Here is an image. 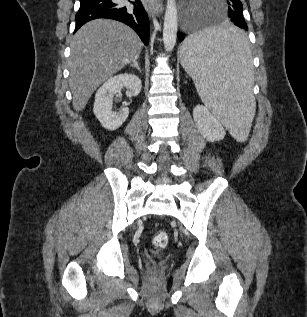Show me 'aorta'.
Returning <instances> with one entry per match:
<instances>
[{
	"label": "aorta",
	"instance_id": "obj_1",
	"mask_svg": "<svg viewBox=\"0 0 307 317\" xmlns=\"http://www.w3.org/2000/svg\"><path fill=\"white\" fill-rule=\"evenodd\" d=\"M178 11L175 0H167L163 27V43L167 52H171L177 39Z\"/></svg>",
	"mask_w": 307,
	"mask_h": 317
}]
</instances>
